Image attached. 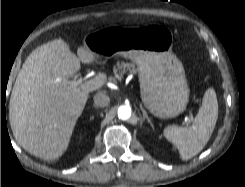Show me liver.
Returning <instances> with one entry per match:
<instances>
[{
	"label": "liver",
	"instance_id": "liver-1",
	"mask_svg": "<svg viewBox=\"0 0 245 187\" xmlns=\"http://www.w3.org/2000/svg\"><path fill=\"white\" fill-rule=\"evenodd\" d=\"M99 56L85 45L78 57L62 39H55L33 50L18 72L9 101V120L17 143L30 154L55 160L67 150L75 124L88 94L101 88L105 73L78 85L69 86L81 68ZM59 79V82H55Z\"/></svg>",
	"mask_w": 245,
	"mask_h": 187
}]
</instances>
